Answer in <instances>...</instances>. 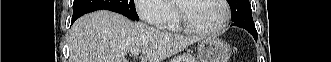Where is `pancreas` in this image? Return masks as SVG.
Masks as SVG:
<instances>
[{
  "label": "pancreas",
  "mask_w": 331,
  "mask_h": 62,
  "mask_svg": "<svg viewBox=\"0 0 331 62\" xmlns=\"http://www.w3.org/2000/svg\"><path fill=\"white\" fill-rule=\"evenodd\" d=\"M177 59H180V61H177ZM172 62H197V60L191 54H183L179 58H175V60H172Z\"/></svg>",
  "instance_id": "cf45deb5"
}]
</instances>
